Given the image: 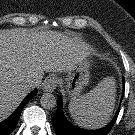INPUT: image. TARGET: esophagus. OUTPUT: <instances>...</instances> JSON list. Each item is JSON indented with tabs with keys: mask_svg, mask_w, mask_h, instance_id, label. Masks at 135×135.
<instances>
[{
	"mask_svg": "<svg viewBox=\"0 0 135 135\" xmlns=\"http://www.w3.org/2000/svg\"><path fill=\"white\" fill-rule=\"evenodd\" d=\"M57 87V81L54 77L48 78L43 84V90L46 92H53Z\"/></svg>",
	"mask_w": 135,
	"mask_h": 135,
	"instance_id": "obj_1",
	"label": "esophagus"
}]
</instances>
